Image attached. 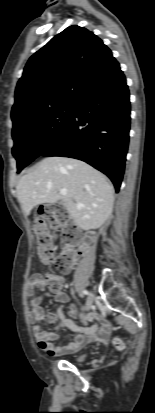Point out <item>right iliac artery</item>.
I'll return each instance as SVG.
<instances>
[{
  "instance_id": "right-iliac-artery-1",
  "label": "right iliac artery",
  "mask_w": 155,
  "mask_h": 413,
  "mask_svg": "<svg viewBox=\"0 0 155 413\" xmlns=\"http://www.w3.org/2000/svg\"><path fill=\"white\" fill-rule=\"evenodd\" d=\"M81 293H82L83 295H87V294H88V292H87L86 290H83Z\"/></svg>"
}]
</instances>
